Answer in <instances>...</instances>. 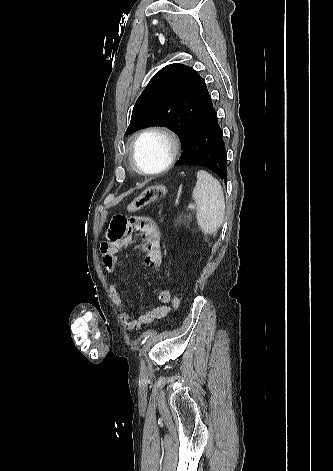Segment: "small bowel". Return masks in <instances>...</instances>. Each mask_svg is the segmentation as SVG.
<instances>
[{"mask_svg":"<svg viewBox=\"0 0 333 471\" xmlns=\"http://www.w3.org/2000/svg\"><path fill=\"white\" fill-rule=\"evenodd\" d=\"M140 238L136 248L145 254V265L150 268H158L162 264V233L155 222L145 216L126 217L123 214H115L111 217L107 239L101 243L102 261L107 272L112 273L118 266L119 253L129 247ZM122 286L121 278L115 279L109 290L112 303L121 311L123 326L128 331H137L143 326L151 324L166 317L170 312L169 303L172 295L169 290H161L157 293L158 305L151 308L137 318H132L127 311L120 294Z\"/></svg>","mask_w":333,"mask_h":471,"instance_id":"c3829d8e","label":"small bowel"}]
</instances>
